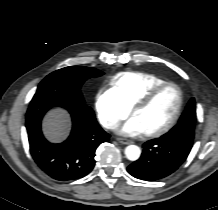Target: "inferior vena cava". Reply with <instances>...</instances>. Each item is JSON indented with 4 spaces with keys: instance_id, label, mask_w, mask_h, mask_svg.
<instances>
[{
    "instance_id": "602c4592",
    "label": "inferior vena cava",
    "mask_w": 218,
    "mask_h": 210,
    "mask_svg": "<svg viewBox=\"0 0 218 210\" xmlns=\"http://www.w3.org/2000/svg\"><path fill=\"white\" fill-rule=\"evenodd\" d=\"M109 128L115 129V128H117V124H111V125L109 126Z\"/></svg>"
}]
</instances>
